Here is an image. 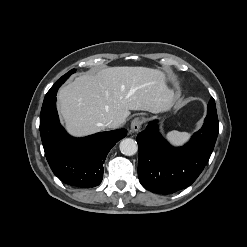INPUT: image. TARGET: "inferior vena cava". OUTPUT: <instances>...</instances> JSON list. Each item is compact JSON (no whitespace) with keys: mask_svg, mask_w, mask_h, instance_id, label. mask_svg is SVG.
I'll return each mask as SVG.
<instances>
[{"mask_svg":"<svg viewBox=\"0 0 247 247\" xmlns=\"http://www.w3.org/2000/svg\"><path fill=\"white\" fill-rule=\"evenodd\" d=\"M118 125H119V121L117 120H111L106 124L108 128H116Z\"/></svg>","mask_w":247,"mask_h":247,"instance_id":"602c4592","label":"inferior vena cava"}]
</instances>
